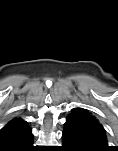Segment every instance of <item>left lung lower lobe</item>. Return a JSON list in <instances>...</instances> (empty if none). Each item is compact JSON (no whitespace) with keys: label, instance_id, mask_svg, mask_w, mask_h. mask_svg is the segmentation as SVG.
Masks as SVG:
<instances>
[{"label":"left lung lower lobe","instance_id":"1","mask_svg":"<svg viewBox=\"0 0 118 151\" xmlns=\"http://www.w3.org/2000/svg\"><path fill=\"white\" fill-rule=\"evenodd\" d=\"M61 148L63 151H92L84 140L67 130H64L62 133Z\"/></svg>","mask_w":118,"mask_h":151}]
</instances>
